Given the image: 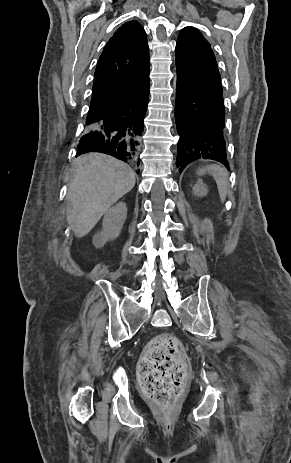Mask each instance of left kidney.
<instances>
[{
  "label": "left kidney",
  "mask_w": 291,
  "mask_h": 463,
  "mask_svg": "<svg viewBox=\"0 0 291 463\" xmlns=\"http://www.w3.org/2000/svg\"><path fill=\"white\" fill-rule=\"evenodd\" d=\"M208 193V190L206 188V186L202 183V182H197L194 186H193V194L199 196V197H203V196H206Z\"/></svg>",
  "instance_id": "left-kidney-1"
}]
</instances>
